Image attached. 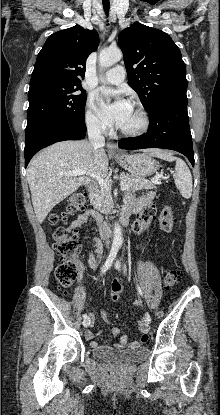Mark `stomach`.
<instances>
[{
  "instance_id": "1",
  "label": "stomach",
  "mask_w": 220,
  "mask_h": 415,
  "mask_svg": "<svg viewBox=\"0 0 220 415\" xmlns=\"http://www.w3.org/2000/svg\"><path fill=\"white\" fill-rule=\"evenodd\" d=\"M115 159L120 166L137 177L150 176L158 169L156 161L145 153L123 154Z\"/></svg>"
}]
</instances>
